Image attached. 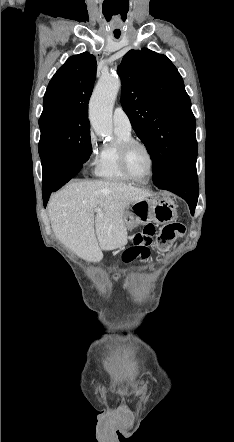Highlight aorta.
<instances>
[{"mask_svg": "<svg viewBox=\"0 0 234 442\" xmlns=\"http://www.w3.org/2000/svg\"><path fill=\"white\" fill-rule=\"evenodd\" d=\"M121 86L118 75L102 76L97 83L89 104V120L95 133L112 138V109Z\"/></svg>", "mask_w": 234, "mask_h": 442, "instance_id": "762f6f07", "label": "aorta"}]
</instances>
